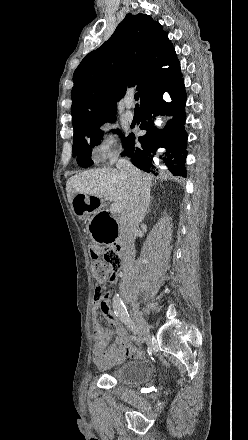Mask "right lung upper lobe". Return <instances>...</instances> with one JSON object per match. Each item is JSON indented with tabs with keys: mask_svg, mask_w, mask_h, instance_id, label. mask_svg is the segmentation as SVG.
Wrapping results in <instances>:
<instances>
[{
	"mask_svg": "<svg viewBox=\"0 0 248 440\" xmlns=\"http://www.w3.org/2000/svg\"><path fill=\"white\" fill-rule=\"evenodd\" d=\"M170 65L163 69L162 66ZM175 50L162 26L128 13L111 38L81 61L73 74L74 135L116 119V101L135 86L141 102L181 78Z\"/></svg>",
	"mask_w": 248,
	"mask_h": 440,
	"instance_id": "cb5924a9",
	"label": "right lung upper lobe"
}]
</instances>
